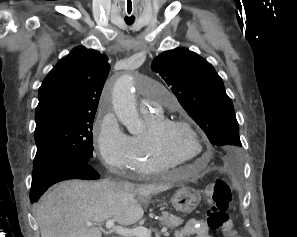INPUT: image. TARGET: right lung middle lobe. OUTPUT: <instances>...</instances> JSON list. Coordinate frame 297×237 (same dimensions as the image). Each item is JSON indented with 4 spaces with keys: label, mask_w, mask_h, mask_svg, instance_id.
Returning <instances> with one entry per match:
<instances>
[{
    "label": "right lung middle lobe",
    "mask_w": 297,
    "mask_h": 237,
    "mask_svg": "<svg viewBox=\"0 0 297 237\" xmlns=\"http://www.w3.org/2000/svg\"><path fill=\"white\" fill-rule=\"evenodd\" d=\"M94 115L53 116L36 123L37 153L33 162V183L53 162L63 159L90 161L93 157Z\"/></svg>",
    "instance_id": "dd1d6c3e"
}]
</instances>
